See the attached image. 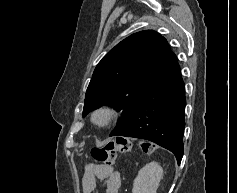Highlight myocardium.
<instances>
[{
    "instance_id": "obj_1",
    "label": "myocardium",
    "mask_w": 237,
    "mask_h": 193,
    "mask_svg": "<svg viewBox=\"0 0 237 193\" xmlns=\"http://www.w3.org/2000/svg\"><path fill=\"white\" fill-rule=\"evenodd\" d=\"M116 110L107 105L96 108L90 117V120L94 126L100 129L109 127L116 119Z\"/></svg>"
}]
</instances>
